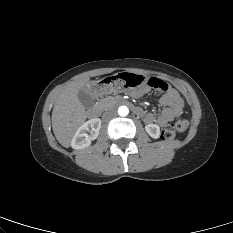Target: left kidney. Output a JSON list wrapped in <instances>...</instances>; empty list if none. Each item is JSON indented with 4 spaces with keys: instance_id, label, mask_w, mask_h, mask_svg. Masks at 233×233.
I'll use <instances>...</instances> for the list:
<instances>
[{
    "instance_id": "1",
    "label": "left kidney",
    "mask_w": 233,
    "mask_h": 233,
    "mask_svg": "<svg viewBox=\"0 0 233 233\" xmlns=\"http://www.w3.org/2000/svg\"><path fill=\"white\" fill-rule=\"evenodd\" d=\"M146 132L150 137L157 139L160 136V127L156 124H148L145 126Z\"/></svg>"
}]
</instances>
